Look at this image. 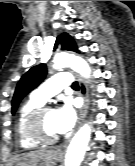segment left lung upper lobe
I'll use <instances>...</instances> for the list:
<instances>
[{
	"label": "left lung upper lobe",
	"instance_id": "obj_1",
	"mask_svg": "<svg viewBox=\"0 0 135 166\" xmlns=\"http://www.w3.org/2000/svg\"><path fill=\"white\" fill-rule=\"evenodd\" d=\"M61 43L63 50H69L74 52H79L73 38L67 33L61 34L57 37L55 42V49L57 45ZM47 73V68L45 64H40L32 67L28 70L18 82L13 99H12V110L11 113L14 114L22 98L29 93L31 90L36 88L45 78Z\"/></svg>",
	"mask_w": 135,
	"mask_h": 166
}]
</instances>
